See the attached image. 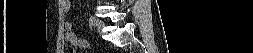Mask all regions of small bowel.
I'll return each mask as SVG.
<instances>
[{
    "instance_id": "obj_1",
    "label": "small bowel",
    "mask_w": 253,
    "mask_h": 53,
    "mask_svg": "<svg viewBox=\"0 0 253 53\" xmlns=\"http://www.w3.org/2000/svg\"><path fill=\"white\" fill-rule=\"evenodd\" d=\"M65 29H66V41L73 45H81L84 41L77 38V36L72 31V26L69 22L65 23Z\"/></svg>"
}]
</instances>
